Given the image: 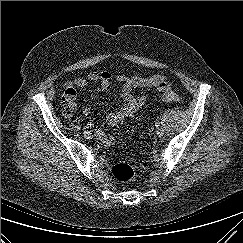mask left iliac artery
<instances>
[{"mask_svg": "<svg viewBox=\"0 0 243 243\" xmlns=\"http://www.w3.org/2000/svg\"><path fill=\"white\" fill-rule=\"evenodd\" d=\"M155 126H156V127H158V126H159V123H158V122H156V123H155Z\"/></svg>", "mask_w": 243, "mask_h": 243, "instance_id": "44dca946", "label": "left iliac artery"}]
</instances>
